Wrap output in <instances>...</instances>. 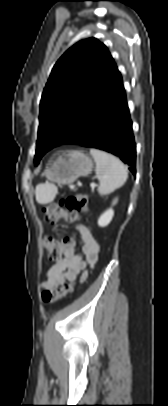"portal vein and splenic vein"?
<instances>
[{"instance_id": "18ae733b", "label": "portal vein and splenic vein", "mask_w": 168, "mask_h": 406, "mask_svg": "<svg viewBox=\"0 0 168 406\" xmlns=\"http://www.w3.org/2000/svg\"><path fill=\"white\" fill-rule=\"evenodd\" d=\"M91 187H92V188H95V187H96V184H95V183H92V184H91Z\"/></svg>"}]
</instances>
